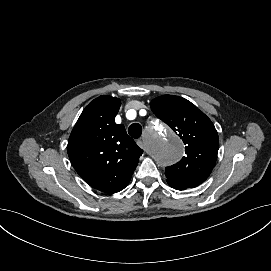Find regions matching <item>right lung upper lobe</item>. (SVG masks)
I'll list each match as a JSON object with an SVG mask.
<instances>
[{
	"label": "right lung upper lobe",
	"instance_id": "cb5924a9",
	"mask_svg": "<svg viewBox=\"0 0 271 271\" xmlns=\"http://www.w3.org/2000/svg\"><path fill=\"white\" fill-rule=\"evenodd\" d=\"M120 100L100 96L80 115L68 140L69 159L91 187L116 193L129 183L143 150L130 138L123 124L115 123Z\"/></svg>",
	"mask_w": 271,
	"mask_h": 271
}]
</instances>
